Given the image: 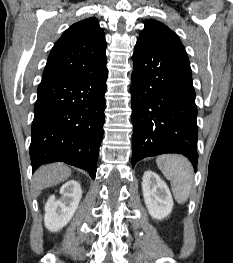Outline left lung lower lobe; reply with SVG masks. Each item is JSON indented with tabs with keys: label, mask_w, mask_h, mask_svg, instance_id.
I'll list each match as a JSON object with an SVG mask.
<instances>
[{
	"label": "left lung lower lobe",
	"mask_w": 233,
	"mask_h": 263,
	"mask_svg": "<svg viewBox=\"0 0 233 263\" xmlns=\"http://www.w3.org/2000/svg\"><path fill=\"white\" fill-rule=\"evenodd\" d=\"M133 166L181 153L197 167V107L187 53L137 43L133 54Z\"/></svg>",
	"instance_id": "left-lung-lower-lobe-1"
}]
</instances>
